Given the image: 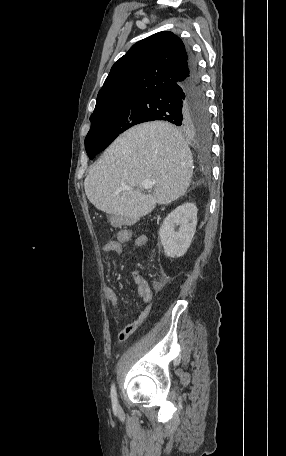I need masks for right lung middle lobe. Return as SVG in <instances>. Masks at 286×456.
<instances>
[{"label":"right lung middle lobe","mask_w":286,"mask_h":456,"mask_svg":"<svg viewBox=\"0 0 286 456\" xmlns=\"http://www.w3.org/2000/svg\"><path fill=\"white\" fill-rule=\"evenodd\" d=\"M144 107L139 96H131L111 102L94 111L90 117L91 128L85 138V149L90 159L107 148L120 133L131 126L142 123ZM191 130L208 139L210 135L209 115L196 123Z\"/></svg>","instance_id":"right-lung-middle-lobe-1"}]
</instances>
